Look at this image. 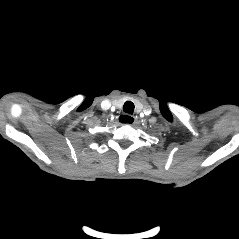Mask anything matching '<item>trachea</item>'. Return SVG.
Here are the masks:
<instances>
[{
	"label": "trachea",
	"mask_w": 239,
	"mask_h": 239,
	"mask_svg": "<svg viewBox=\"0 0 239 239\" xmlns=\"http://www.w3.org/2000/svg\"><path fill=\"white\" fill-rule=\"evenodd\" d=\"M134 103L131 101H127L125 102L124 106H123V111L129 114H133L134 112Z\"/></svg>",
	"instance_id": "trachea-1"
}]
</instances>
